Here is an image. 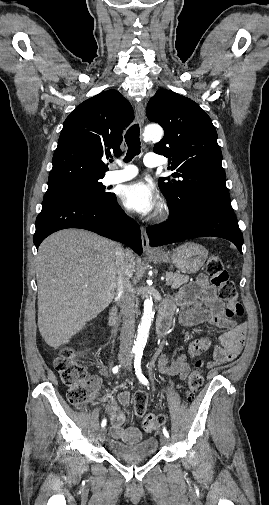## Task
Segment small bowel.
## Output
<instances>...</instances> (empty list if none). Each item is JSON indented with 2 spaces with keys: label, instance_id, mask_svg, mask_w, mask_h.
Here are the masks:
<instances>
[{
  "label": "small bowel",
  "instance_id": "obj_1",
  "mask_svg": "<svg viewBox=\"0 0 269 505\" xmlns=\"http://www.w3.org/2000/svg\"><path fill=\"white\" fill-rule=\"evenodd\" d=\"M169 304L173 308L176 304L180 306L179 320L182 325L187 327L208 326L221 332L220 345L215 347L209 367L231 361L240 354L247 326L245 323L237 324L225 316L224 304L217 297L215 288L209 285L206 275H199L194 283L181 289L175 300ZM210 345L211 341L208 337L195 339L190 342L188 352L178 355L172 363H169L165 356H161L159 368L163 373L178 375L181 379H186L190 371L188 357L199 356ZM107 401L112 437L128 443L138 442L141 439L140 430L133 426H123L125 415L119 406V403L124 406L129 405V393L122 391L118 393L117 401L113 398H108Z\"/></svg>",
  "mask_w": 269,
  "mask_h": 505
}]
</instances>
